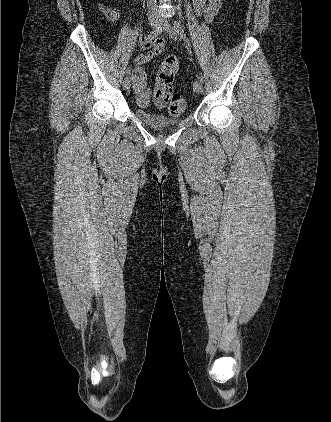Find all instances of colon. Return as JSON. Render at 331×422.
<instances>
[{
  "label": "colon",
  "instance_id": "5ec220e1",
  "mask_svg": "<svg viewBox=\"0 0 331 422\" xmlns=\"http://www.w3.org/2000/svg\"><path fill=\"white\" fill-rule=\"evenodd\" d=\"M105 13L109 19L115 18L114 11L107 9ZM178 70V58L174 55L166 57L159 66L154 91V104L164 107L169 103L168 111L173 116L183 113L186 109V101L179 95H173V82ZM133 75L137 79L146 77L145 72L139 68L134 70ZM140 98L143 104L149 102V97L145 95Z\"/></svg>",
  "mask_w": 331,
  "mask_h": 422
}]
</instances>
